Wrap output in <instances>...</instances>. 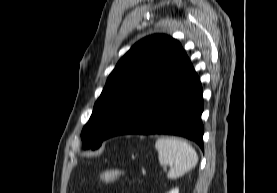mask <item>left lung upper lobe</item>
I'll return each mask as SVG.
<instances>
[{
    "instance_id": "obj_1",
    "label": "left lung upper lobe",
    "mask_w": 277,
    "mask_h": 193,
    "mask_svg": "<svg viewBox=\"0 0 277 193\" xmlns=\"http://www.w3.org/2000/svg\"><path fill=\"white\" fill-rule=\"evenodd\" d=\"M189 61L181 44L155 34L137 42L120 59L81 132L84 148L96 149L127 110Z\"/></svg>"
}]
</instances>
